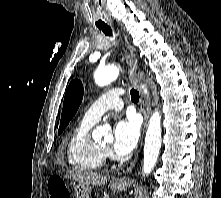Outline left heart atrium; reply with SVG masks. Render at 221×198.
<instances>
[{
    "instance_id": "left-heart-atrium-1",
    "label": "left heart atrium",
    "mask_w": 221,
    "mask_h": 198,
    "mask_svg": "<svg viewBox=\"0 0 221 198\" xmlns=\"http://www.w3.org/2000/svg\"><path fill=\"white\" fill-rule=\"evenodd\" d=\"M113 149L118 155L129 154L136 146L139 135L140 125L136 117L128 116L116 122L114 126Z\"/></svg>"
}]
</instances>
